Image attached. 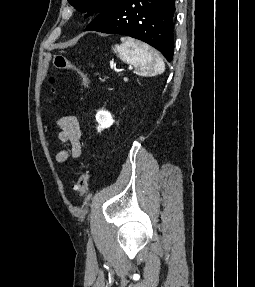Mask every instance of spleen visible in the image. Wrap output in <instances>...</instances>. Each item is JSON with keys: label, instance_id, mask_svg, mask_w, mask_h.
I'll return each mask as SVG.
<instances>
[{"label": "spleen", "instance_id": "1", "mask_svg": "<svg viewBox=\"0 0 255 287\" xmlns=\"http://www.w3.org/2000/svg\"><path fill=\"white\" fill-rule=\"evenodd\" d=\"M121 42L123 44L116 46V50L120 52L123 62L135 66L137 72H147L148 76L163 74L165 64L156 50L133 38H121Z\"/></svg>", "mask_w": 255, "mask_h": 287}]
</instances>
